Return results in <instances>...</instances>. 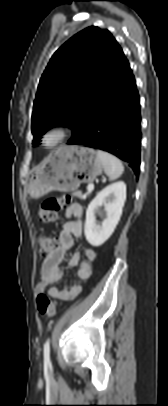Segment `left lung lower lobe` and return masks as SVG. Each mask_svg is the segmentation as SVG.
Here are the masks:
<instances>
[{"instance_id":"1","label":"left lung lower lobe","mask_w":168,"mask_h":406,"mask_svg":"<svg viewBox=\"0 0 168 406\" xmlns=\"http://www.w3.org/2000/svg\"><path fill=\"white\" fill-rule=\"evenodd\" d=\"M141 115L139 94L125 56L96 100L81 132L67 144L107 151L140 168Z\"/></svg>"}]
</instances>
